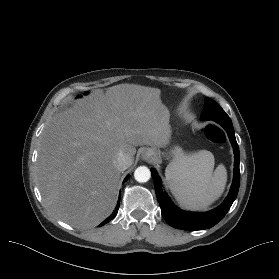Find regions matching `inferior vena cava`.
Returning <instances> with one entry per match:
<instances>
[{
    "label": "inferior vena cava",
    "mask_w": 279,
    "mask_h": 279,
    "mask_svg": "<svg viewBox=\"0 0 279 279\" xmlns=\"http://www.w3.org/2000/svg\"><path fill=\"white\" fill-rule=\"evenodd\" d=\"M113 163L117 170L124 171L131 166L132 161L128 155L120 152Z\"/></svg>",
    "instance_id": "obj_1"
}]
</instances>
